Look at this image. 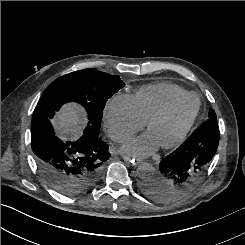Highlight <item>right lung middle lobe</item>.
<instances>
[{
	"instance_id": "right-lung-middle-lobe-1",
	"label": "right lung middle lobe",
	"mask_w": 245,
	"mask_h": 245,
	"mask_svg": "<svg viewBox=\"0 0 245 245\" xmlns=\"http://www.w3.org/2000/svg\"><path fill=\"white\" fill-rule=\"evenodd\" d=\"M124 86L118 75L84 69L57 78L46 88L37 105H47L56 111L64 103L77 102L88 112L89 122L84 132L98 135L107 100Z\"/></svg>"
}]
</instances>
